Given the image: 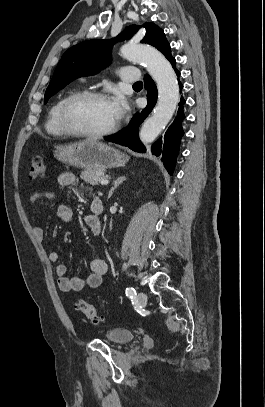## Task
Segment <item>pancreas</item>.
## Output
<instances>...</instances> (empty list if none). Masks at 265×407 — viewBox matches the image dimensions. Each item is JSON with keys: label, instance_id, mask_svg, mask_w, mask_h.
Returning <instances> with one entry per match:
<instances>
[{"label": "pancreas", "instance_id": "pancreas-1", "mask_svg": "<svg viewBox=\"0 0 265 407\" xmlns=\"http://www.w3.org/2000/svg\"><path fill=\"white\" fill-rule=\"evenodd\" d=\"M81 179L90 185H98L103 178L107 176L101 175V170L87 169L81 173Z\"/></svg>", "mask_w": 265, "mask_h": 407}]
</instances>
